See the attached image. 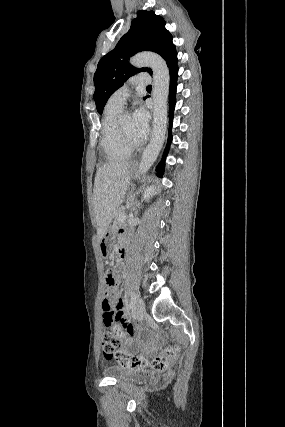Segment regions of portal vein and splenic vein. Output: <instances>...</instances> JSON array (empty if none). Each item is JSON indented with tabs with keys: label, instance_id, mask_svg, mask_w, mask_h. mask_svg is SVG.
<instances>
[{
	"label": "portal vein and splenic vein",
	"instance_id": "portal-vein-and-splenic-vein-1",
	"mask_svg": "<svg viewBox=\"0 0 285 427\" xmlns=\"http://www.w3.org/2000/svg\"><path fill=\"white\" fill-rule=\"evenodd\" d=\"M126 218H127V215L124 213V214H122V215H121L120 220H121V221H123V220H125Z\"/></svg>",
	"mask_w": 285,
	"mask_h": 427
}]
</instances>
